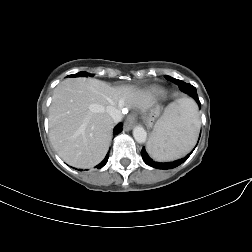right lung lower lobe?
<instances>
[{"label":"right lung lower lobe","instance_id":"1","mask_svg":"<svg viewBox=\"0 0 252 252\" xmlns=\"http://www.w3.org/2000/svg\"><path fill=\"white\" fill-rule=\"evenodd\" d=\"M122 131V124H118L115 128H114V135L119 134ZM108 157L109 154L106 155L105 159L96 166V168L100 169L102 168L108 161Z\"/></svg>","mask_w":252,"mask_h":252}]
</instances>
